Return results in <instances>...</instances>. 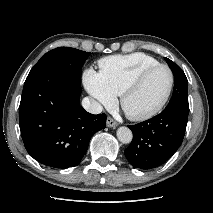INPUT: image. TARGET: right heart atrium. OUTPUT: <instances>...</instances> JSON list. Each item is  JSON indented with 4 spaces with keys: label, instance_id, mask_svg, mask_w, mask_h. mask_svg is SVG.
Here are the masks:
<instances>
[{
    "label": "right heart atrium",
    "instance_id": "right-heart-atrium-1",
    "mask_svg": "<svg viewBox=\"0 0 213 213\" xmlns=\"http://www.w3.org/2000/svg\"><path fill=\"white\" fill-rule=\"evenodd\" d=\"M84 85L89 94L99 106H111L115 102V95L106 87L102 76L93 69H87L83 75Z\"/></svg>",
    "mask_w": 213,
    "mask_h": 213
}]
</instances>
